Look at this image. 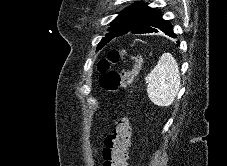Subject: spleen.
Wrapping results in <instances>:
<instances>
[{"instance_id": "obj_1", "label": "spleen", "mask_w": 227, "mask_h": 166, "mask_svg": "<svg viewBox=\"0 0 227 166\" xmlns=\"http://www.w3.org/2000/svg\"><path fill=\"white\" fill-rule=\"evenodd\" d=\"M149 99L159 107L170 106L180 89V72L177 61L170 53H164L157 65L145 78Z\"/></svg>"}]
</instances>
